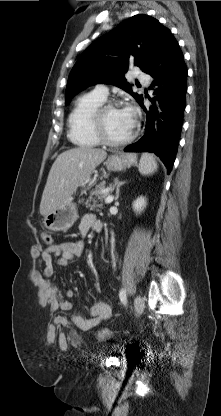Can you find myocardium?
Returning a JSON list of instances; mask_svg holds the SVG:
<instances>
[{
  "label": "myocardium",
  "mask_w": 221,
  "mask_h": 416,
  "mask_svg": "<svg viewBox=\"0 0 221 416\" xmlns=\"http://www.w3.org/2000/svg\"><path fill=\"white\" fill-rule=\"evenodd\" d=\"M116 108H120L119 103L113 102V101L104 102L96 108L93 114V119H92V128H93L94 134L96 135V137L99 139V141L102 144L110 146V147H120V146H124L130 143L136 135L137 125H138L135 119L133 122L132 131L128 137L119 141L111 139L107 135V132L105 129L104 115L108 110L116 109Z\"/></svg>",
  "instance_id": "1"
}]
</instances>
